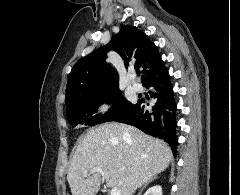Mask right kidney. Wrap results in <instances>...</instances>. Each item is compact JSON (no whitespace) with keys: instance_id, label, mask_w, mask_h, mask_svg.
I'll list each match as a JSON object with an SVG mask.
<instances>
[{"instance_id":"ca27d5eb","label":"right kidney","mask_w":240,"mask_h":195,"mask_svg":"<svg viewBox=\"0 0 240 195\" xmlns=\"http://www.w3.org/2000/svg\"><path fill=\"white\" fill-rule=\"evenodd\" d=\"M144 195H162L161 185H153V187H149Z\"/></svg>"}]
</instances>
